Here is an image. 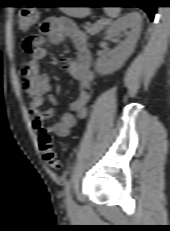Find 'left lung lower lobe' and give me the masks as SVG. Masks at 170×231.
Wrapping results in <instances>:
<instances>
[{
    "label": "left lung lower lobe",
    "instance_id": "1",
    "mask_svg": "<svg viewBox=\"0 0 170 231\" xmlns=\"http://www.w3.org/2000/svg\"><path fill=\"white\" fill-rule=\"evenodd\" d=\"M124 2H132L133 4H137V7L142 8L150 17L152 21L155 14V8L153 0H114L111 3H124Z\"/></svg>",
    "mask_w": 170,
    "mask_h": 231
}]
</instances>
